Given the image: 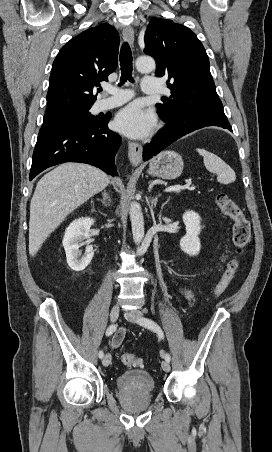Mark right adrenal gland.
Returning a JSON list of instances; mask_svg holds the SVG:
<instances>
[{"instance_id": "1", "label": "right adrenal gland", "mask_w": 272, "mask_h": 452, "mask_svg": "<svg viewBox=\"0 0 272 452\" xmlns=\"http://www.w3.org/2000/svg\"><path fill=\"white\" fill-rule=\"evenodd\" d=\"M102 196H103V199H98V200L101 201L102 205H104L105 207L109 206L111 199H110L108 193L106 192V190H104L102 192Z\"/></svg>"}]
</instances>
